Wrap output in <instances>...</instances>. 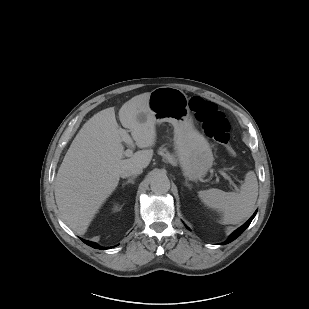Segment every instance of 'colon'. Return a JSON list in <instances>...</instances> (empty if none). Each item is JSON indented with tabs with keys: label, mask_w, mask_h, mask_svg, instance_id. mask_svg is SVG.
Masks as SVG:
<instances>
[{
	"label": "colon",
	"mask_w": 309,
	"mask_h": 309,
	"mask_svg": "<svg viewBox=\"0 0 309 309\" xmlns=\"http://www.w3.org/2000/svg\"><path fill=\"white\" fill-rule=\"evenodd\" d=\"M189 107L205 133L223 145L230 156H235L236 151L230 144L228 120L218 106L202 97L194 96L190 99Z\"/></svg>",
	"instance_id": "colon-1"
}]
</instances>
